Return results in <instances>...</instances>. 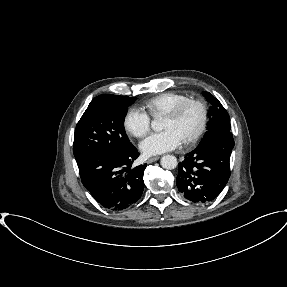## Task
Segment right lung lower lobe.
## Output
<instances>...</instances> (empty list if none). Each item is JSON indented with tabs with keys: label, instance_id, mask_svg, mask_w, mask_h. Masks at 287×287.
Segmentation results:
<instances>
[{
	"label": "right lung lower lobe",
	"instance_id": "98d812e1",
	"mask_svg": "<svg viewBox=\"0 0 287 287\" xmlns=\"http://www.w3.org/2000/svg\"><path fill=\"white\" fill-rule=\"evenodd\" d=\"M139 156L134 147L126 152H98L78 167L82 184L93 198L110 211H121L136 203L144 189L146 164L132 167Z\"/></svg>",
	"mask_w": 287,
	"mask_h": 287
}]
</instances>
